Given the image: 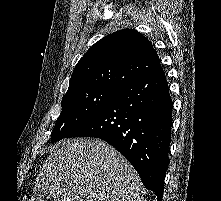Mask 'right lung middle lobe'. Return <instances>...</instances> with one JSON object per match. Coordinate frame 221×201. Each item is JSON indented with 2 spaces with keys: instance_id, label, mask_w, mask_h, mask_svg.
I'll use <instances>...</instances> for the list:
<instances>
[{
  "instance_id": "dd1d6c3e",
  "label": "right lung middle lobe",
  "mask_w": 221,
  "mask_h": 201,
  "mask_svg": "<svg viewBox=\"0 0 221 201\" xmlns=\"http://www.w3.org/2000/svg\"><path fill=\"white\" fill-rule=\"evenodd\" d=\"M119 90L108 87H88L67 92L62 99L51 142L66 138L75 129L102 109Z\"/></svg>"
}]
</instances>
